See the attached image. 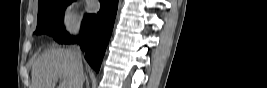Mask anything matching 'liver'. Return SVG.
Listing matches in <instances>:
<instances>
[{"label":"liver","instance_id":"6515ba94","mask_svg":"<svg viewBox=\"0 0 267 88\" xmlns=\"http://www.w3.org/2000/svg\"><path fill=\"white\" fill-rule=\"evenodd\" d=\"M31 75L32 88H56L60 76L65 79L57 88H78L79 63L74 51L52 48L37 58Z\"/></svg>","mask_w":267,"mask_h":88}]
</instances>
